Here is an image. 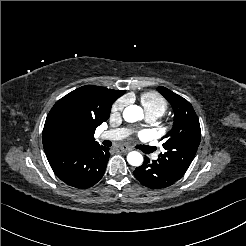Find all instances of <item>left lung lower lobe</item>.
Listing matches in <instances>:
<instances>
[{"instance_id": "1", "label": "left lung lower lobe", "mask_w": 246, "mask_h": 246, "mask_svg": "<svg viewBox=\"0 0 246 246\" xmlns=\"http://www.w3.org/2000/svg\"><path fill=\"white\" fill-rule=\"evenodd\" d=\"M134 175L141 184L152 189L168 187L182 177L159 160L151 162L148 157L135 169Z\"/></svg>"}]
</instances>
